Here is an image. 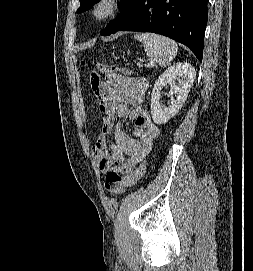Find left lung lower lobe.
Here are the masks:
<instances>
[{"mask_svg":"<svg viewBox=\"0 0 253 271\" xmlns=\"http://www.w3.org/2000/svg\"><path fill=\"white\" fill-rule=\"evenodd\" d=\"M133 4L128 18L113 33H158L188 46L202 61L207 0H134Z\"/></svg>","mask_w":253,"mask_h":271,"instance_id":"1","label":"left lung lower lobe"}]
</instances>
